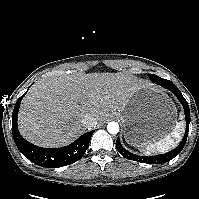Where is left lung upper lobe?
I'll return each instance as SVG.
<instances>
[{
  "label": "left lung upper lobe",
  "instance_id": "5c2ea615",
  "mask_svg": "<svg viewBox=\"0 0 199 199\" xmlns=\"http://www.w3.org/2000/svg\"><path fill=\"white\" fill-rule=\"evenodd\" d=\"M148 76L153 82H155L157 84L160 83V82H168L169 81V80L160 78V77L153 75V74H149Z\"/></svg>",
  "mask_w": 199,
  "mask_h": 199
}]
</instances>
